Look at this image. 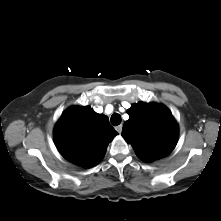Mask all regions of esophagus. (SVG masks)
<instances>
[{
	"instance_id": "esophagus-1",
	"label": "esophagus",
	"mask_w": 221,
	"mask_h": 221,
	"mask_svg": "<svg viewBox=\"0 0 221 221\" xmlns=\"http://www.w3.org/2000/svg\"><path fill=\"white\" fill-rule=\"evenodd\" d=\"M122 124L121 125H118L117 127H116V130H117V132L118 133H121L122 132Z\"/></svg>"
}]
</instances>
